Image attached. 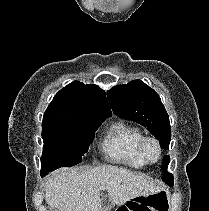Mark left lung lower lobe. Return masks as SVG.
<instances>
[{"label":"left lung lower lobe","instance_id":"left-lung-lower-lobe-1","mask_svg":"<svg viewBox=\"0 0 209 211\" xmlns=\"http://www.w3.org/2000/svg\"><path fill=\"white\" fill-rule=\"evenodd\" d=\"M165 183H167L170 186H173V178L170 180H163Z\"/></svg>","mask_w":209,"mask_h":211}]
</instances>
